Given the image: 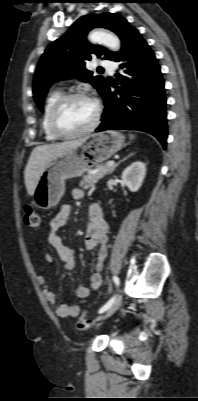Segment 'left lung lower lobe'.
<instances>
[{
  "instance_id": "left-lung-lower-lobe-1",
  "label": "left lung lower lobe",
  "mask_w": 198,
  "mask_h": 401,
  "mask_svg": "<svg viewBox=\"0 0 198 401\" xmlns=\"http://www.w3.org/2000/svg\"><path fill=\"white\" fill-rule=\"evenodd\" d=\"M122 61L124 74L117 75L116 91L106 83L102 123L96 132L112 129L141 130L154 135L166 148L167 120L164 81L154 52L138 30L130 34L114 60Z\"/></svg>"
}]
</instances>
